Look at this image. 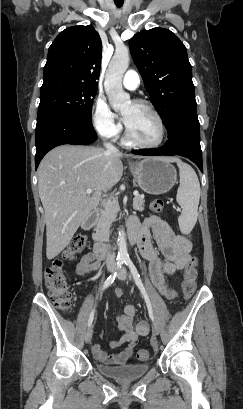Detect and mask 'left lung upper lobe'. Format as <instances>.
I'll return each mask as SVG.
<instances>
[{
	"instance_id": "1",
	"label": "left lung upper lobe",
	"mask_w": 243,
	"mask_h": 409,
	"mask_svg": "<svg viewBox=\"0 0 243 409\" xmlns=\"http://www.w3.org/2000/svg\"><path fill=\"white\" fill-rule=\"evenodd\" d=\"M129 46L150 100L168 129L179 114L197 105L186 47L163 28L142 30Z\"/></svg>"
}]
</instances>
